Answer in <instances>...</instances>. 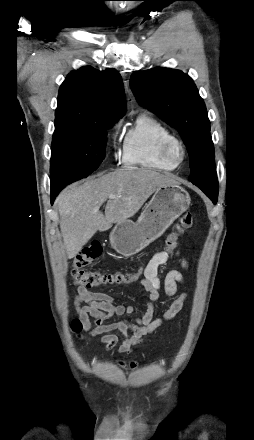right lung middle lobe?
<instances>
[{
	"instance_id": "right-lung-middle-lobe-1",
	"label": "right lung middle lobe",
	"mask_w": 254,
	"mask_h": 440,
	"mask_svg": "<svg viewBox=\"0 0 254 440\" xmlns=\"http://www.w3.org/2000/svg\"><path fill=\"white\" fill-rule=\"evenodd\" d=\"M114 123L115 120L97 123L56 118L51 146V186L69 184L95 171L105 158L107 128Z\"/></svg>"
}]
</instances>
